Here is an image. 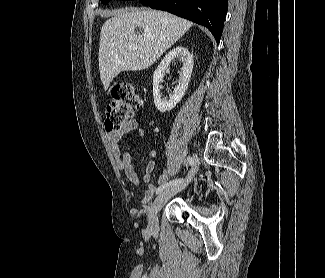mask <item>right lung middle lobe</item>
I'll return each mask as SVG.
<instances>
[{
	"mask_svg": "<svg viewBox=\"0 0 325 278\" xmlns=\"http://www.w3.org/2000/svg\"><path fill=\"white\" fill-rule=\"evenodd\" d=\"M110 0H101L102 4H107Z\"/></svg>",
	"mask_w": 325,
	"mask_h": 278,
	"instance_id": "obj_1",
	"label": "right lung middle lobe"
}]
</instances>
